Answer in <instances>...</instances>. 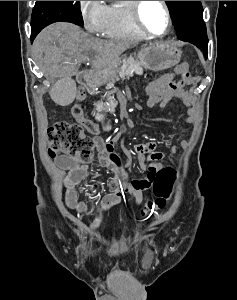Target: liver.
Returning <instances> with one entry per match:
<instances>
[{"mask_svg":"<svg viewBox=\"0 0 237 300\" xmlns=\"http://www.w3.org/2000/svg\"><path fill=\"white\" fill-rule=\"evenodd\" d=\"M131 41H105L84 33L71 23H54L43 29L33 43L34 61L46 77L77 75L82 61L91 69H105L131 49Z\"/></svg>","mask_w":237,"mask_h":300,"instance_id":"liver-1","label":"liver"}]
</instances>
